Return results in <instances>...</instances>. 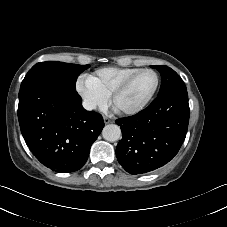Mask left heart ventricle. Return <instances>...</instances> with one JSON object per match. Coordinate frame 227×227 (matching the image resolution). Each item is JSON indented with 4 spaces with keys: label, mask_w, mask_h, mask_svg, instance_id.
<instances>
[{
    "label": "left heart ventricle",
    "mask_w": 227,
    "mask_h": 227,
    "mask_svg": "<svg viewBox=\"0 0 227 227\" xmlns=\"http://www.w3.org/2000/svg\"><path fill=\"white\" fill-rule=\"evenodd\" d=\"M155 76L151 72L140 74L116 101L120 109H132L139 106L150 94L155 85Z\"/></svg>",
    "instance_id": "obj_1"
}]
</instances>
